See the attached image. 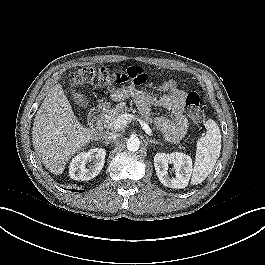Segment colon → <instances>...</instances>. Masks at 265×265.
Wrapping results in <instances>:
<instances>
[{
  "label": "colon",
  "instance_id": "5ec220e1",
  "mask_svg": "<svg viewBox=\"0 0 265 265\" xmlns=\"http://www.w3.org/2000/svg\"><path fill=\"white\" fill-rule=\"evenodd\" d=\"M146 80L147 75L144 78L140 71L135 68L128 69L126 73H118L100 66L83 67L71 76L73 86L93 85L105 87L109 90L127 82L140 85ZM185 111L192 123L198 124L203 120V109L198 93H188L185 100Z\"/></svg>",
  "mask_w": 265,
  "mask_h": 265
}]
</instances>
